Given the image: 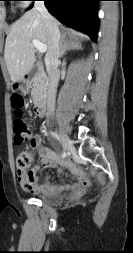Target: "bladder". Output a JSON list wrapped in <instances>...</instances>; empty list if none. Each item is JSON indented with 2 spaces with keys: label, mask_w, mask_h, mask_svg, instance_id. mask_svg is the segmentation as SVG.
I'll list each match as a JSON object with an SVG mask.
<instances>
[{
  "label": "bladder",
  "mask_w": 133,
  "mask_h": 253,
  "mask_svg": "<svg viewBox=\"0 0 133 253\" xmlns=\"http://www.w3.org/2000/svg\"><path fill=\"white\" fill-rule=\"evenodd\" d=\"M36 198L49 205H59L64 200L61 194L46 191L37 193Z\"/></svg>",
  "instance_id": "31cf9c89"
}]
</instances>
